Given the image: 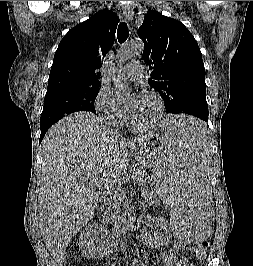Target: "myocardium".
Returning a JSON list of instances; mask_svg holds the SVG:
<instances>
[{
	"label": "myocardium",
	"instance_id": "myocardium-1",
	"mask_svg": "<svg viewBox=\"0 0 253 266\" xmlns=\"http://www.w3.org/2000/svg\"><path fill=\"white\" fill-rule=\"evenodd\" d=\"M142 95H148L155 100V102L157 104V113L150 122H147L145 124L137 123L132 117H129L130 125L134 128H137V129H148V128L155 127L160 122V120L163 116V113H164L163 100L156 92L151 91V90L143 91Z\"/></svg>",
	"mask_w": 253,
	"mask_h": 266
}]
</instances>
